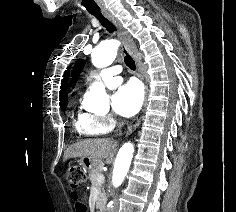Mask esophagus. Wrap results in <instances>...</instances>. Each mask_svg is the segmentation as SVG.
<instances>
[{"label": "esophagus", "mask_w": 236, "mask_h": 212, "mask_svg": "<svg viewBox=\"0 0 236 212\" xmlns=\"http://www.w3.org/2000/svg\"><path fill=\"white\" fill-rule=\"evenodd\" d=\"M103 15L113 23V25L115 26L116 30H117V35L118 37L122 40L123 45L125 47V49L127 50V52L134 57L135 59L137 58V51H136V47L130 37V35L128 34V32L123 28V26L121 25V23L111 14L108 12H104ZM139 71L141 73V77L144 80L145 83V90H146V97H145V103H144V108L146 106L147 103V94H148V86L146 84V80L144 79L143 76V72L141 71V69L139 68ZM144 110V109H143ZM138 124V123H137ZM136 124V125H137ZM132 127H128V131H131Z\"/></svg>", "instance_id": "34e87169"}]
</instances>
